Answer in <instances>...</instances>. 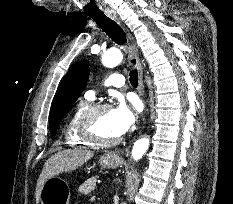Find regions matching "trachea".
<instances>
[{
	"instance_id": "obj_1",
	"label": "trachea",
	"mask_w": 233,
	"mask_h": 204,
	"mask_svg": "<svg viewBox=\"0 0 233 204\" xmlns=\"http://www.w3.org/2000/svg\"><path fill=\"white\" fill-rule=\"evenodd\" d=\"M97 25L118 45L126 44V34L122 27L118 25L114 20L107 17L103 12L89 13ZM130 83L132 86L137 87L138 85V72L132 70L129 74Z\"/></svg>"
}]
</instances>
